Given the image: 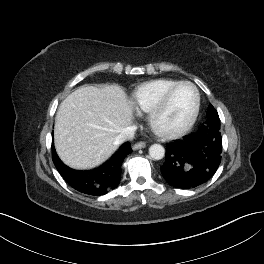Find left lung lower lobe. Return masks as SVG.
Returning <instances> with one entry per match:
<instances>
[{"mask_svg":"<svg viewBox=\"0 0 264 264\" xmlns=\"http://www.w3.org/2000/svg\"><path fill=\"white\" fill-rule=\"evenodd\" d=\"M222 154L220 130L201 125L196 133L166 145L163 177L177 188H195L208 181L218 169Z\"/></svg>","mask_w":264,"mask_h":264,"instance_id":"0a47b994","label":"left lung lower lobe"}]
</instances>
